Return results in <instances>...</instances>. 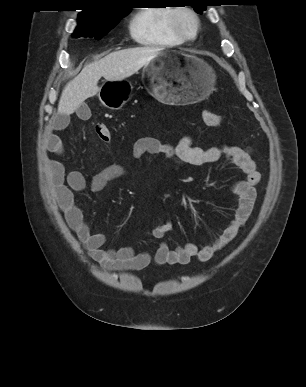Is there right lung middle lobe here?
<instances>
[{
  "instance_id": "obj_1",
  "label": "right lung middle lobe",
  "mask_w": 306,
  "mask_h": 387,
  "mask_svg": "<svg viewBox=\"0 0 306 387\" xmlns=\"http://www.w3.org/2000/svg\"><path fill=\"white\" fill-rule=\"evenodd\" d=\"M129 11V7H124L122 12L106 19H79L78 27L74 31L73 36L101 39L119 22L120 18L127 15Z\"/></svg>"
}]
</instances>
